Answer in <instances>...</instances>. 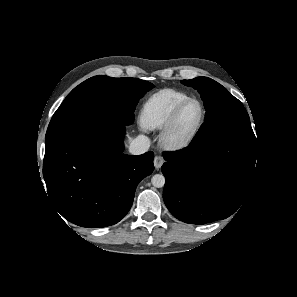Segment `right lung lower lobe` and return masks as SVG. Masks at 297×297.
Listing matches in <instances>:
<instances>
[{
    "instance_id": "98d812e1",
    "label": "right lung lower lobe",
    "mask_w": 297,
    "mask_h": 297,
    "mask_svg": "<svg viewBox=\"0 0 297 297\" xmlns=\"http://www.w3.org/2000/svg\"><path fill=\"white\" fill-rule=\"evenodd\" d=\"M124 133L122 125L102 126L46 149L48 196L68 221L106 227L130 210L138 183L154 169V154H123Z\"/></svg>"
}]
</instances>
